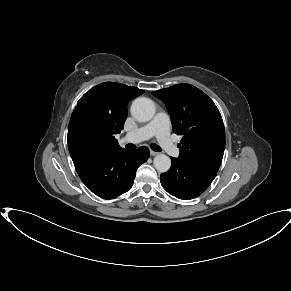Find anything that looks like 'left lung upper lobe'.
<instances>
[{"label": "left lung upper lobe", "instance_id": "left-lung-upper-lobe-1", "mask_svg": "<svg viewBox=\"0 0 291 291\" xmlns=\"http://www.w3.org/2000/svg\"><path fill=\"white\" fill-rule=\"evenodd\" d=\"M152 94L165 103L174 133L183 136L178 159L200 171L216 174L224 154L225 129L214 102L189 84Z\"/></svg>", "mask_w": 291, "mask_h": 291}]
</instances>
